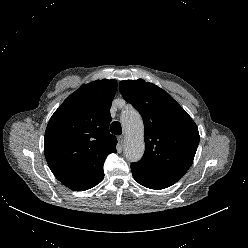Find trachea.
<instances>
[{
    "instance_id": "1",
    "label": "trachea",
    "mask_w": 248,
    "mask_h": 248,
    "mask_svg": "<svg viewBox=\"0 0 248 248\" xmlns=\"http://www.w3.org/2000/svg\"><path fill=\"white\" fill-rule=\"evenodd\" d=\"M111 133L120 135L122 133L121 124L118 121H114L110 126Z\"/></svg>"
}]
</instances>
